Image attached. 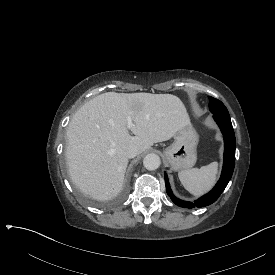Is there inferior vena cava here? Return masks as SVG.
Wrapping results in <instances>:
<instances>
[{
  "instance_id": "602c4592",
  "label": "inferior vena cava",
  "mask_w": 275,
  "mask_h": 275,
  "mask_svg": "<svg viewBox=\"0 0 275 275\" xmlns=\"http://www.w3.org/2000/svg\"><path fill=\"white\" fill-rule=\"evenodd\" d=\"M124 153L127 158H134L139 154V150L136 145L130 144L124 148Z\"/></svg>"
}]
</instances>
